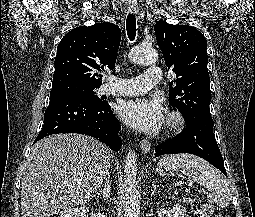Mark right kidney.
<instances>
[{"label": "right kidney", "mask_w": 255, "mask_h": 217, "mask_svg": "<svg viewBox=\"0 0 255 217\" xmlns=\"http://www.w3.org/2000/svg\"><path fill=\"white\" fill-rule=\"evenodd\" d=\"M89 209L84 207H76L64 210L59 217H88Z\"/></svg>", "instance_id": "ca27d5eb"}]
</instances>
